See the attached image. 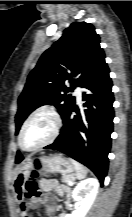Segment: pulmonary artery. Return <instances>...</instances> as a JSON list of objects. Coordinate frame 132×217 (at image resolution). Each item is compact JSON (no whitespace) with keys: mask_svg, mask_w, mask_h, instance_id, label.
Instances as JSON below:
<instances>
[{"mask_svg":"<svg viewBox=\"0 0 132 217\" xmlns=\"http://www.w3.org/2000/svg\"><path fill=\"white\" fill-rule=\"evenodd\" d=\"M82 92L83 90L80 87L75 89V96L79 102L82 100Z\"/></svg>","mask_w":132,"mask_h":217,"instance_id":"obj_1","label":"pulmonary artery"}]
</instances>
